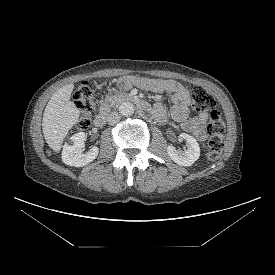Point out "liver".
<instances>
[{
  "label": "liver",
  "mask_w": 275,
  "mask_h": 275,
  "mask_svg": "<svg viewBox=\"0 0 275 275\" xmlns=\"http://www.w3.org/2000/svg\"><path fill=\"white\" fill-rule=\"evenodd\" d=\"M74 85L61 87L50 98L44 110L42 130L44 138L51 149L59 152L69 130L79 122L80 111L70 101Z\"/></svg>",
  "instance_id": "obj_1"
}]
</instances>
